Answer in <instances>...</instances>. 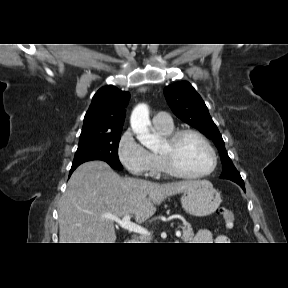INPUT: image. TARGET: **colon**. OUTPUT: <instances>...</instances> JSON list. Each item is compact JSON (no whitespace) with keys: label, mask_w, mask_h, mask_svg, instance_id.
Listing matches in <instances>:
<instances>
[{"label":"colon","mask_w":288,"mask_h":288,"mask_svg":"<svg viewBox=\"0 0 288 288\" xmlns=\"http://www.w3.org/2000/svg\"><path fill=\"white\" fill-rule=\"evenodd\" d=\"M219 213L223 218L225 228L231 230L234 228L235 224V215L234 213L226 208L219 209Z\"/></svg>","instance_id":"1"}]
</instances>
